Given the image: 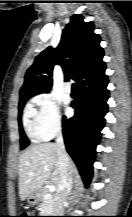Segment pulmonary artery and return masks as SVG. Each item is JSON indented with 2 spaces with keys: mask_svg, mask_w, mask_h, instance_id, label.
Here are the masks:
<instances>
[{
  "mask_svg": "<svg viewBox=\"0 0 132 217\" xmlns=\"http://www.w3.org/2000/svg\"><path fill=\"white\" fill-rule=\"evenodd\" d=\"M64 90L67 93H71L72 88H71L70 84H66L65 87H64Z\"/></svg>",
  "mask_w": 132,
  "mask_h": 217,
  "instance_id": "e3ab8cb5",
  "label": "pulmonary artery"
}]
</instances>
